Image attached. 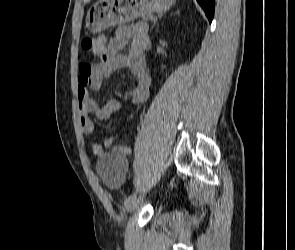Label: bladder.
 <instances>
[{"label":"bladder","instance_id":"31cf9c89","mask_svg":"<svg viewBox=\"0 0 295 250\" xmlns=\"http://www.w3.org/2000/svg\"><path fill=\"white\" fill-rule=\"evenodd\" d=\"M95 168L104 184L112 188H117L123 182L126 174V158L111 152H106L99 157Z\"/></svg>","mask_w":295,"mask_h":250}]
</instances>
